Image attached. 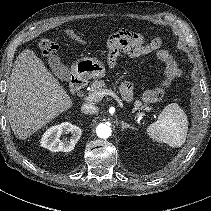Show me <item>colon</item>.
Listing matches in <instances>:
<instances>
[{
  "label": "colon",
  "mask_w": 211,
  "mask_h": 211,
  "mask_svg": "<svg viewBox=\"0 0 211 211\" xmlns=\"http://www.w3.org/2000/svg\"><path fill=\"white\" fill-rule=\"evenodd\" d=\"M66 34L78 43L84 42V39L72 30H68ZM111 40H113V44L107 47V61L110 66H114L120 53L138 56L150 51H156L158 58L165 64L163 78L155 88L146 91L143 98L147 103L151 104L160 102L166 91L180 74V69L175 60L167 51L161 48V39L155 38L149 44H144L140 34L120 31ZM38 47L42 54L47 57L54 56L58 51V46L49 38H42L39 41Z\"/></svg>",
  "instance_id": "obj_1"
}]
</instances>
